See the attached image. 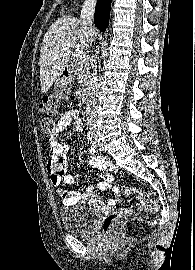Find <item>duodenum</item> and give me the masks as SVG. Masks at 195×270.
<instances>
[{
    "label": "duodenum",
    "instance_id": "1",
    "mask_svg": "<svg viewBox=\"0 0 195 270\" xmlns=\"http://www.w3.org/2000/svg\"><path fill=\"white\" fill-rule=\"evenodd\" d=\"M71 69L67 66L65 67L64 69V72H63V76L66 80L70 79L71 78ZM79 98L82 100V101H86L87 98H88V91L87 89H82L79 93Z\"/></svg>",
    "mask_w": 195,
    "mask_h": 270
}]
</instances>
